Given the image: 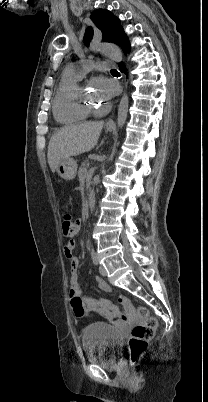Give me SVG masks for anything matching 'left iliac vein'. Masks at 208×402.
<instances>
[{"instance_id": "obj_1", "label": "left iliac vein", "mask_w": 208, "mask_h": 402, "mask_svg": "<svg viewBox=\"0 0 208 402\" xmlns=\"http://www.w3.org/2000/svg\"><path fill=\"white\" fill-rule=\"evenodd\" d=\"M99 273L101 276H104V277L107 275V272H106V269L104 266H102V265L99 266Z\"/></svg>"}]
</instances>
